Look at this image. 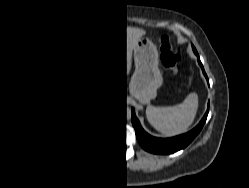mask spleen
I'll return each instance as SVG.
<instances>
[{
    "label": "spleen",
    "instance_id": "3e777b00",
    "mask_svg": "<svg viewBox=\"0 0 249 188\" xmlns=\"http://www.w3.org/2000/svg\"><path fill=\"white\" fill-rule=\"evenodd\" d=\"M198 109V95L190 93L183 103L169 107L147 106L148 122L165 136L186 132L193 123Z\"/></svg>",
    "mask_w": 249,
    "mask_h": 188
}]
</instances>
